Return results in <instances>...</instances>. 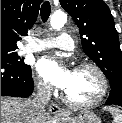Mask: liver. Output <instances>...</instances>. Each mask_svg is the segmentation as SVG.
Segmentation results:
<instances>
[{
    "instance_id": "obj_1",
    "label": "liver",
    "mask_w": 122,
    "mask_h": 123,
    "mask_svg": "<svg viewBox=\"0 0 122 123\" xmlns=\"http://www.w3.org/2000/svg\"><path fill=\"white\" fill-rule=\"evenodd\" d=\"M46 113L38 116L32 101L22 98L1 97V123H47Z\"/></svg>"
}]
</instances>
